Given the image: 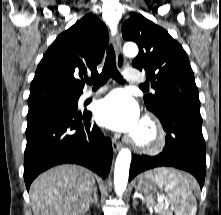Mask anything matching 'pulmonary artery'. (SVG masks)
I'll return each mask as SVG.
<instances>
[{"label": "pulmonary artery", "mask_w": 221, "mask_h": 215, "mask_svg": "<svg viewBox=\"0 0 221 215\" xmlns=\"http://www.w3.org/2000/svg\"><path fill=\"white\" fill-rule=\"evenodd\" d=\"M124 76H125V79L130 83H141L144 81L143 76L140 73H138L135 69H127L124 72ZM105 90H106V87L99 88L96 91H91V90L85 91L80 96L79 101L83 103L85 100L93 96H96Z\"/></svg>", "instance_id": "pulmonary-artery-1"}]
</instances>
